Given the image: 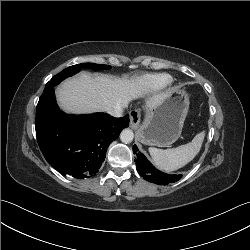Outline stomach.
<instances>
[{
  "label": "stomach",
  "instance_id": "0dacf381",
  "mask_svg": "<svg viewBox=\"0 0 250 250\" xmlns=\"http://www.w3.org/2000/svg\"><path fill=\"white\" fill-rule=\"evenodd\" d=\"M189 109V97L183 90H173L160 104L148 110L137 131L139 141L151 146H167L181 135Z\"/></svg>",
  "mask_w": 250,
  "mask_h": 250
}]
</instances>
